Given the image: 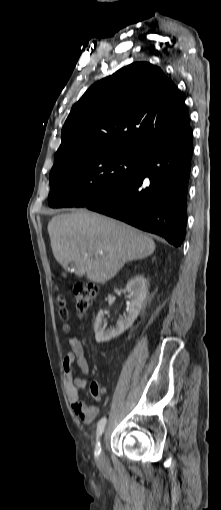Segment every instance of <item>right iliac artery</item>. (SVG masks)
<instances>
[{
    "instance_id": "right-iliac-artery-1",
    "label": "right iliac artery",
    "mask_w": 221,
    "mask_h": 510,
    "mask_svg": "<svg viewBox=\"0 0 221 510\" xmlns=\"http://www.w3.org/2000/svg\"><path fill=\"white\" fill-rule=\"evenodd\" d=\"M105 425H106V418L104 417L98 422V426H97V443H96V449H95L96 456H98L101 452V446H100V442L98 441V439H99L100 435L103 433Z\"/></svg>"
}]
</instances>
